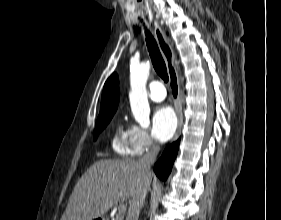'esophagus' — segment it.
<instances>
[{
    "label": "esophagus",
    "mask_w": 281,
    "mask_h": 220,
    "mask_svg": "<svg viewBox=\"0 0 281 220\" xmlns=\"http://www.w3.org/2000/svg\"><path fill=\"white\" fill-rule=\"evenodd\" d=\"M153 28H154V34L159 46V49L163 55V58L166 63L167 72L169 76V85L172 93V97L175 102V108L177 112V118H178V126L177 131L175 134V140L178 139L181 133L182 123H183V115H182V106L180 102V87H179V80L177 76V72L174 66V53L172 50V47L170 45V42L165 36V33L158 23V21L154 20L153 22Z\"/></svg>",
    "instance_id": "1"
}]
</instances>
